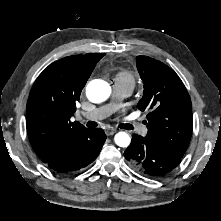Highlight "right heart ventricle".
Wrapping results in <instances>:
<instances>
[{
	"mask_svg": "<svg viewBox=\"0 0 221 221\" xmlns=\"http://www.w3.org/2000/svg\"><path fill=\"white\" fill-rule=\"evenodd\" d=\"M114 82L118 83H128L134 86V78L130 72L127 71H120L116 74L114 78Z\"/></svg>",
	"mask_w": 221,
	"mask_h": 221,
	"instance_id": "e07e8e85",
	"label": "right heart ventricle"
}]
</instances>
